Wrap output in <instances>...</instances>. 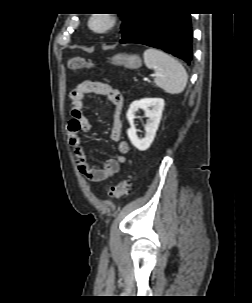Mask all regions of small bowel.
Returning a JSON list of instances; mask_svg holds the SVG:
<instances>
[{
  "instance_id": "obj_1",
  "label": "small bowel",
  "mask_w": 252,
  "mask_h": 303,
  "mask_svg": "<svg viewBox=\"0 0 252 303\" xmlns=\"http://www.w3.org/2000/svg\"><path fill=\"white\" fill-rule=\"evenodd\" d=\"M97 94L106 97L111 106L112 128L110 139L117 144L118 154L105 161L102 167L93 165L86 156L84 141L81 134L92 129V124L83 113L85 97ZM71 115L73 123L69 128V142L74 149V159L78 171L88 180L99 183L118 173L120 167L127 161L125 155L129 145L121 138L123 121L121 116L123 98L120 92L109 84L97 81H83L79 83L70 95Z\"/></svg>"
}]
</instances>
